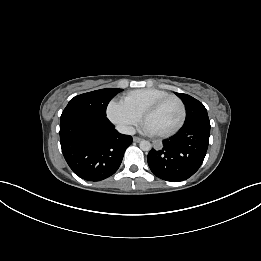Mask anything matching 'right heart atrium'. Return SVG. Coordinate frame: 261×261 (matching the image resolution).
I'll return each mask as SVG.
<instances>
[{
    "label": "right heart atrium",
    "mask_w": 261,
    "mask_h": 261,
    "mask_svg": "<svg viewBox=\"0 0 261 261\" xmlns=\"http://www.w3.org/2000/svg\"><path fill=\"white\" fill-rule=\"evenodd\" d=\"M107 117L125 133H131L140 121L138 114L129 109L122 101L116 100H112L108 104Z\"/></svg>",
    "instance_id": "d8ad5b80"
}]
</instances>
